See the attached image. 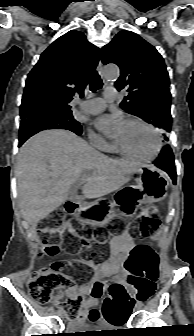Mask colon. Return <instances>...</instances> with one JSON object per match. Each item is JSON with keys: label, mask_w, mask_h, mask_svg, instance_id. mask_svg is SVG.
Here are the masks:
<instances>
[{"label": "colon", "mask_w": 194, "mask_h": 336, "mask_svg": "<svg viewBox=\"0 0 194 336\" xmlns=\"http://www.w3.org/2000/svg\"><path fill=\"white\" fill-rule=\"evenodd\" d=\"M114 226L120 227L121 222H114ZM160 227V221L155 216L153 207H146L139 219L134 221L129 232L132 237L139 239L154 234ZM77 226L74 222H68L63 211L57 210L44 218L38 227L42 236L47 255H55L60 251L62 243L71 252H79L82 258L69 262V265L77 267L79 272L86 271L87 265L97 259L105 249V240L97 237L92 240L88 236L73 234ZM69 232L65 239V233ZM67 264L58 262L50 268H45L35 273L27 283L30 297L39 304H46L50 301L53 293L57 291L69 292L75 289L76 282L70 275L62 272ZM128 271L127 281L134 284L138 277L148 284L152 285L158 278L155 269V253L149 246L140 245L133 251L130 260L126 264ZM103 285L93 288L91 295L101 297ZM109 298L104 302L106 319L109 323H116L121 317L119 307L116 305L118 298H123L125 306L134 303L135 299H143L144 295L137 296L129 294L124 285L119 282H111L107 285ZM82 304V296L78 293L67 296L59 302L65 314L70 318L79 316Z\"/></svg>", "instance_id": "5ec220e1"}]
</instances>
